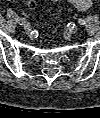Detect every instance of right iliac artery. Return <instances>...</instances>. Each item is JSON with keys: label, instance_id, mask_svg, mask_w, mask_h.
I'll use <instances>...</instances> for the list:
<instances>
[{"label": "right iliac artery", "instance_id": "right-iliac-artery-1", "mask_svg": "<svg viewBox=\"0 0 100 118\" xmlns=\"http://www.w3.org/2000/svg\"><path fill=\"white\" fill-rule=\"evenodd\" d=\"M19 24H20V25H24L25 27L28 25L26 19H24V18H21V19H20Z\"/></svg>", "mask_w": 100, "mask_h": 118}]
</instances>
